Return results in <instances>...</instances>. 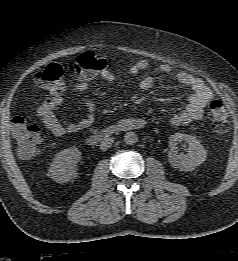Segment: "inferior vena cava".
<instances>
[{
  "label": "inferior vena cava",
  "instance_id": "inferior-vena-cava-1",
  "mask_svg": "<svg viewBox=\"0 0 238 261\" xmlns=\"http://www.w3.org/2000/svg\"><path fill=\"white\" fill-rule=\"evenodd\" d=\"M112 142H113V138H105V139H103L101 141V143H100V149L102 151L107 150L112 145Z\"/></svg>",
  "mask_w": 238,
  "mask_h": 261
}]
</instances>
